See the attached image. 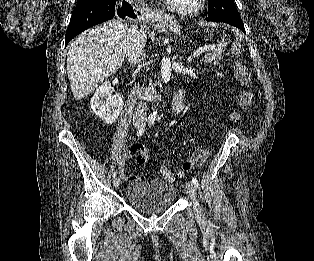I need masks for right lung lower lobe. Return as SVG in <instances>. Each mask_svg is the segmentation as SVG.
Here are the masks:
<instances>
[{
	"mask_svg": "<svg viewBox=\"0 0 314 261\" xmlns=\"http://www.w3.org/2000/svg\"><path fill=\"white\" fill-rule=\"evenodd\" d=\"M116 14L121 18H136L132 6L125 0H91L76 6L67 28L65 46L79 33L112 19Z\"/></svg>",
	"mask_w": 314,
	"mask_h": 261,
	"instance_id": "1",
	"label": "right lung lower lobe"
}]
</instances>
